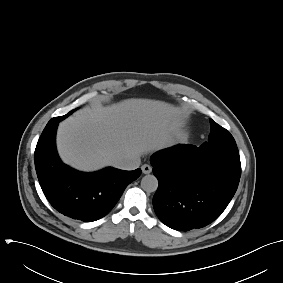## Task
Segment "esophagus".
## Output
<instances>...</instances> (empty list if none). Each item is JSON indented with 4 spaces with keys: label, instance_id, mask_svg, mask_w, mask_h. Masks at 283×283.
<instances>
[{
    "label": "esophagus",
    "instance_id": "34e87169",
    "mask_svg": "<svg viewBox=\"0 0 283 283\" xmlns=\"http://www.w3.org/2000/svg\"><path fill=\"white\" fill-rule=\"evenodd\" d=\"M141 170L143 174H149L152 172V167L148 164H144L141 166Z\"/></svg>",
    "mask_w": 283,
    "mask_h": 283
}]
</instances>
